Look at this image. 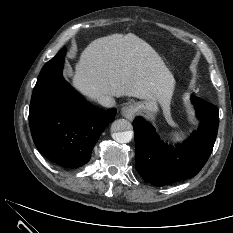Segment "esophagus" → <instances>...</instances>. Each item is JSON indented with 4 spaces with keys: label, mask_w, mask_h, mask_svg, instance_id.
Returning <instances> with one entry per match:
<instances>
[{
    "label": "esophagus",
    "mask_w": 233,
    "mask_h": 233,
    "mask_svg": "<svg viewBox=\"0 0 233 233\" xmlns=\"http://www.w3.org/2000/svg\"><path fill=\"white\" fill-rule=\"evenodd\" d=\"M137 111H138V106L133 103L128 104L121 109L122 115L129 120H132L135 117Z\"/></svg>",
    "instance_id": "obj_1"
}]
</instances>
